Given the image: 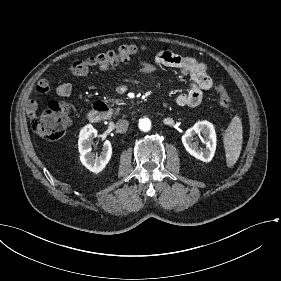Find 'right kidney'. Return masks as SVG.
I'll return each instance as SVG.
<instances>
[{"mask_svg":"<svg viewBox=\"0 0 281 281\" xmlns=\"http://www.w3.org/2000/svg\"><path fill=\"white\" fill-rule=\"evenodd\" d=\"M96 136L97 130L91 124L85 125L79 133L78 149L81 163L91 172L99 173L109 162L112 155V147L110 141L106 140L99 157L92 153L93 139Z\"/></svg>","mask_w":281,"mask_h":281,"instance_id":"1","label":"right kidney"}]
</instances>
